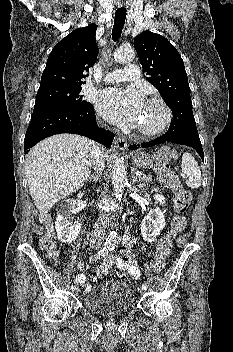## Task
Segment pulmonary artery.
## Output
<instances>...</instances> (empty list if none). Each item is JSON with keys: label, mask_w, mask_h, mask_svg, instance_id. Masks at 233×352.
I'll use <instances>...</instances> for the list:
<instances>
[{"label": "pulmonary artery", "mask_w": 233, "mask_h": 352, "mask_svg": "<svg viewBox=\"0 0 233 352\" xmlns=\"http://www.w3.org/2000/svg\"><path fill=\"white\" fill-rule=\"evenodd\" d=\"M139 68L130 64L123 69H117L105 75V82L135 81L139 78Z\"/></svg>", "instance_id": "pulmonary-artery-1"}]
</instances>
